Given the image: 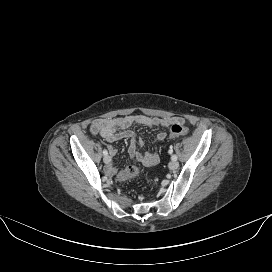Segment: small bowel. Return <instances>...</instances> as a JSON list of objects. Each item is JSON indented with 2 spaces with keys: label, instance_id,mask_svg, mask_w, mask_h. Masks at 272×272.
Returning a JSON list of instances; mask_svg holds the SVG:
<instances>
[{
  "label": "small bowel",
  "instance_id": "1",
  "mask_svg": "<svg viewBox=\"0 0 272 272\" xmlns=\"http://www.w3.org/2000/svg\"><path fill=\"white\" fill-rule=\"evenodd\" d=\"M184 125V119L181 117H149L144 115H128L123 117L107 118L95 120L90 127L92 135H100L108 142H115L120 139H129V155L130 157L142 164L145 167H153L159 163V155L154 152L140 153L138 147L142 146L144 141L142 138L137 137L130 127L133 125H142L145 127H168L173 124ZM167 134L165 132H159L156 135L157 141H163L166 139ZM110 154L115 156L116 150L113 147L109 148ZM109 174L115 172L113 166L107 168Z\"/></svg>",
  "mask_w": 272,
  "mask_h": 272
}]
</instances>
